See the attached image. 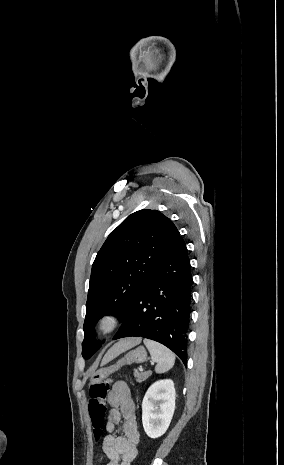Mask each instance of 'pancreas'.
Listing matches in <instances>:
<instances>
[{"mask_svg":"<svg viewBox=\"0 0 284 465\" xmlns=\"http://www.w3.org/2000/svg\"><path fill=\"white\" fill-rule=\"evenodd\" d=\"M152 375V371H146V373H138V371H134V377H136L137 383H142V381H146L148 377Z\"/></svg>","mask_w":284,"mask_h":465,"instance_id":"cf45deb5","label":"pancreas"}]
</instances>
